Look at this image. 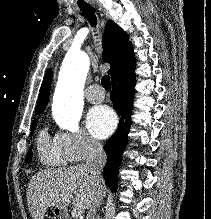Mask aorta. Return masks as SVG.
<instances>
[{
    "label": "aorta",
    "mask_w": 211,
    "mask_h": 219,
    "mask_svg": "<svg viewBox=\"0 0 211 219\" xmlns=\"http://www.w3.org/2000/svg\"><path fill=\"white\" fill-rule=\"evenodd\" d=\"M89 69V58L82 52L69 51L62 63L54 95L56 121L68 130H78L83 110V88Z\"/></svg>",
    "instance_id": "aorta-1"
}]
</instances>
